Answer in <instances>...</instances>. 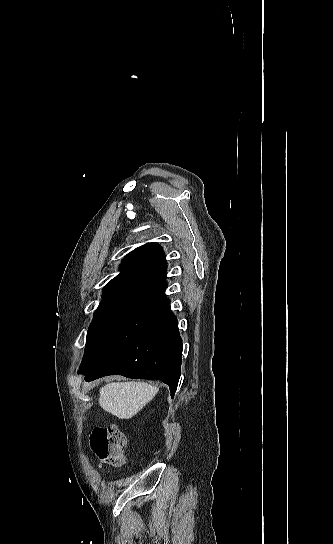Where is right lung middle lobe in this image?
I'll return each mask as SVG.
<instances>
[{"label": "right lung middle lobe", "mask_w": 333, "mask_h": 544, "mask_svg": "<svg viewBox=\"0 0 333 544\" xmlns=\"http://www.w3.org/2000/svg\"><path fill=\"white\" fill-rule=\"evenodd\" d=\"M170 302L150 299H122L100 304L89 326L80 368L103 361L145 331Z\"/></svg>", "instance_id": "right-lung-middle-lobe-1"}]
</instances>
